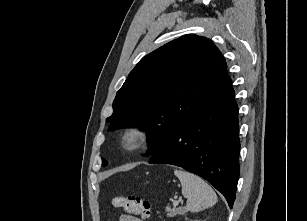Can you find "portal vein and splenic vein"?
<instances>
[{
  "label": "portal vein and splenic vein",
  "mask_w": 307,
  "mask_h": 221,
  "mask_svg": "<svg viewBox=\"0 0 307 221\" xmlns=\"http://www.w3.org/2000/svg\"><path fill=\"white\" fill-rule=\"evenodd\" d=\"M173 205H174V206H178V205H179V201H174V202H173Z\"/></svg>",
  "instance_id": "portal-vein-and-splenic-vein-1"
}]
</instances>
